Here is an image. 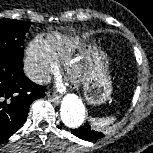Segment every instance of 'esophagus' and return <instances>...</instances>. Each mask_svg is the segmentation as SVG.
Wrapping results in <instances>:
<instances>
[{"instance_id": "1", "label": "esophagus", "mask_w": 153, "mask_h": 153, "mask_svg": "<svg viewBox=\"0 0 153 153\" xmlns=\"http://www.w3.org/2000/svg\"><path fill=\"white\" fill-rule=\"evenodd\" d=\"M47 97L55 103H59L61 100V97L59 95L51 94L50 92L47 93Z\"/></svg>"}]
</instances>
